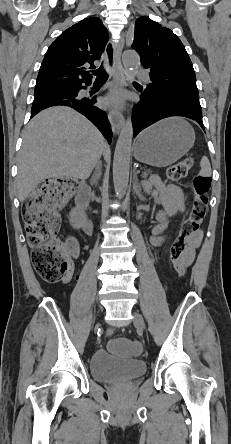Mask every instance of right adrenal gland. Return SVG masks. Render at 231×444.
I'll use <instances>...</instances> for the list:
<instances>
[{
  "instance_id": "1",
  "label": "right adrenal gland",
  "mask_w": 231,
  "mask_h": 444,
  "mask_svg": "<svg viewBox=\"0 0 231 444\" xmlns=\"http://www.w3.org/2000/svg\"><path fill=\"white\" fill-rule=\"evenodd\" d=\"M100 176H101V162H99L96 165L95 173L93 174V176L91 178V185L96 184L97 180L100 178Z\"/></svg>"
}]
</instances>
